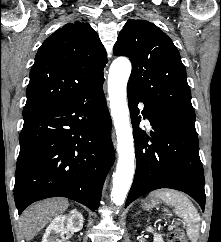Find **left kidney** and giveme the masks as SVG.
<instances>
[{
  "label": "left kidney",
  "instance_id": "1",
  "mask_svg": "<svg viewBox=\"0 0 221 242\" xmlns=\"http://www.w3.org/2000/svg\"><path fill=\"white\" fill-rule=\"evenodd\" d=\"M147 231L149 232H153V228L152 227H148ZM154 242H164L162 235L158 234V233H154Z\"/></svg>",
  "mask_w": 221,
  "mask_h": 242
}]
</instances>
